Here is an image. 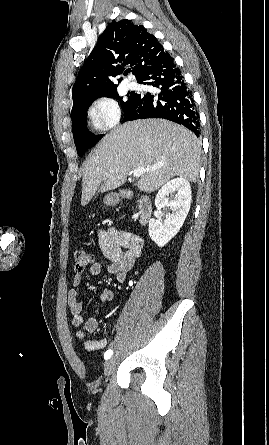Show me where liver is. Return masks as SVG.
Returning <instances> with one entry per match:
<instances>
[{
  "label": "liver",
  "mask_w": 269,
  "mask_h": 445,
  "mask_svg": "<svg viewBox=\"0 0 269 445\" xmlns=\"http://www.w3.org/2000/svg\"><path fill=\"white\" fill-rule=\"evenodd\" d=\"M201 145L183 126L163 119L124 123L105 135L84 163L81 205H87L102 184L106 192L122 186L130 170L161 165L145 172L138 181L140 191L150 193L180 176L196 182Z\"/></svg>",
  "instance_id": "1"
}]
</instances>
